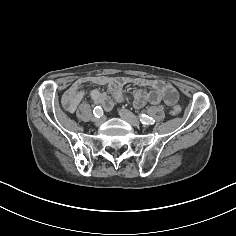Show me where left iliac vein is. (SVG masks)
I'll use <instances>...</instances> for the list:
<instances>
[{
  "label": "left iliac vein",
  "mask_w": 236,
  "mask_h": 236,
  "mask_svg": "<svg viewBox=\"0 0 236 236\" xmlns=\"http://www.w3.org/2000/svg\"><path fill=\"white\" fill-rule=\"evenodd\" d=\"M119 115L122 119H124L130 125H132L134 127L140 126L139 119L134 114H132L130 111H128L126 109H121L119 111Z\"/></svg>",
  "instance_id": "left-iliac-vein-1"
}]
</instances>
